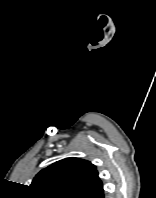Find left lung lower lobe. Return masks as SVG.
Instances as JSON below:
<instances>
[{"instance_id":"obj_1","label":"left lung lower lobe","mask_w":156,"mask_h":198,"mask_svg":"<svg viewBox=\"0 0 156 198\" xmlns=\"http://www.w3.org/2000/svg\"><path fill=\"white\" fill-rule=\"evenodd\" d=\"M100 198H104V194H102V195L100 196Z\"/></svg>"}]
</instances>
